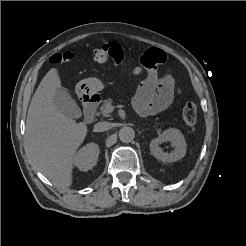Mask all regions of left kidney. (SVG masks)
<instances>
[{"label": "left kidney", "mask_w": 246, "mask_h": 246, "mask_svg": "<svg viewBox=\"0 0 246 246\" xmlns=\"http://www.w3.org/2000/svg\"><path fill=\"white\" fill-rule=\"evenodd\" d=\"M164 142H170L174 150L171 153H165L159 145ZM186 141L182 133L176 128L165 130L159 137L150 142L151 154L162 162H175L186 155Z\"/></svg>", "instance_id": "5707ae66"}]
</instances>
